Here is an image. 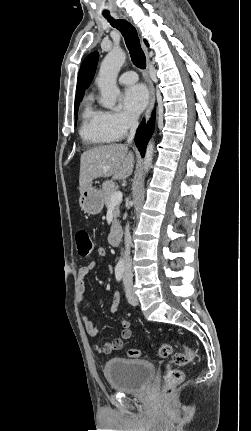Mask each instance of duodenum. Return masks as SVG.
I'll list each match as a JSON object with an SVG mask.
<instances>
[{"mask_svg":"<svg viewBox=\"0 0 251 431\" xmlns=\"http://www.w3.org/2000/svg\"><path fill=\"white\" fill-rule=\"evenodd\" d=\"M122 230L120 227L116 226L112 229L109 235V242L113 246H117L121 241Z\"/></svg>","mask_w":251,"mask_h":431,"instance_id":"obj_1","label":"duodenum"}]
</instances>
